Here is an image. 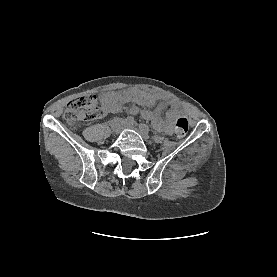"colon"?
<instances>
[{"mask_svg": "<svg viewBox=\"0 0 277 277\" xmlns=\"http://www.w3.org/2000/svg\"><path fill=\"white\" fill-rule=\"evenodd\" d=\"M101 111L96 96L84 95L72 100L65 111V121L73 127L78 126L82 121L96 119ZM189 130L188 120L179 118L174 125L173 135L176 138H183Z\"/></svg>", "mask_w": 277, "mask_h": 277, "instance_id": "5ec220e1", "label": "colon"}]
</instances>
